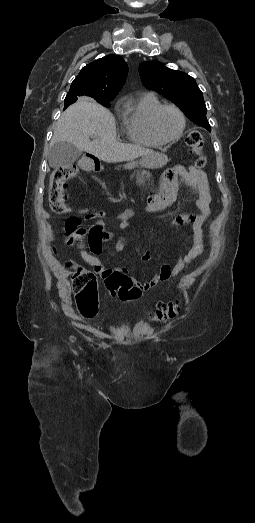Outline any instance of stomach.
<instances>
[{
	"label": "stomach",
	"instance_id": "stomach-1",
	"mask_svg": "<svg viewBox=\"0 0 255 523\" xmlns=\"http://www.w3.org/2000/svg\"><path fill=\"white\" fill-rule=\"evenodd\" d=\"M138 164L141 168H151V170H155V167H165L168 164L167 154L164 151H146L140 162H130L127 168L132 170Z\"/></svg>",
	"mask_w": 255,
	"mask_h": 523
}]
</instances>
